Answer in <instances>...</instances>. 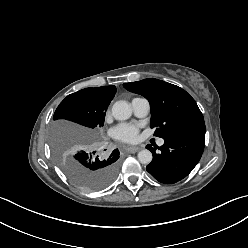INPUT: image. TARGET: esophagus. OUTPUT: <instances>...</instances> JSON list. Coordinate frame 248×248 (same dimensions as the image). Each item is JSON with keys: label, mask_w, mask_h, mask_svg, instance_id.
Instances as JSON below:
<instances>
[{"label": "esophagus", "mask_w": 248, "mask_h": 248, "mask_svg": "<svg viewBox=\"0 0 248 248\" xmlns=\"http://www.w3.org/2000/svg\"><path fill=\"white\" fill-rule=\"evenodd\" d=\"M141 148L140 147H135V146H130V147H127L126 150L130 153H136L140 150Z\"/></svg>", "instance_id": "obj_1"}]
</instances>
